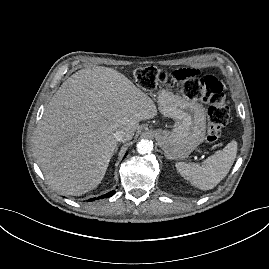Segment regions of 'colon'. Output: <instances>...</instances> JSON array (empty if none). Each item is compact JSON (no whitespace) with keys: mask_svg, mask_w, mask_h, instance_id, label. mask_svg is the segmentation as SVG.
<instances>
[{"mask_svg":"<svg viewBox=\"0 0 269 269\" xmlns=\"http://www.w3.org/2000/svg\"><path fill=\"white\" fill-rule=\"evenodd\" d=\"M170 74L156 67L149 66L138 68L134 75L136 83L144 90H154L162 85H176L186 97L206 102L209 105V125L206 139L210 143L217 141L222 135L223 127L229 120V108L225 102L222 83L211 75L172 83L169 80Z\"/></svg>","mask_w":269,"mask_h":269,"instance_id":"obj_1","label":"colon"}]
</instances>
